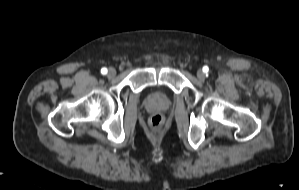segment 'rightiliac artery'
Here are the masks:
<instances>
[{
  "mask_svg": "<svg viewBox=\"0 0 299 190\" xmlns=\"http://www.w3.org/2000/svg\"><path fill=\"white\" fill-rule=\"evenodd\" d=\"M101 73L104 74V75L107 74V69L106 68H102L101 69Z\"/></svg>",
  "mask_w": 299,
  "mask_h": 190,
  "instance_id": "82829eb1",
  "label": "right iliac artery"
}]
</instances>
